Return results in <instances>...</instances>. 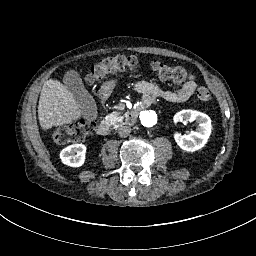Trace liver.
I'll return each mask as SVG.
<instances>
[{
    "instance_id": "obj_1",
    "label": "liver",
    "mask_w": 256,
    "mask_h": 256,
    "mask_svg": "<svg viewBox=\"0 0 256 256\" xmlns=\"http://www.w3.org/2000/svg\"><path fill=\"white\" fill-rule=\"evenodd\" d=\"M82 114L73 94L61 81L49 78L41 89L38 104L39 125L43 131L81 119Z\"/></svg>"
}]
</instances>
